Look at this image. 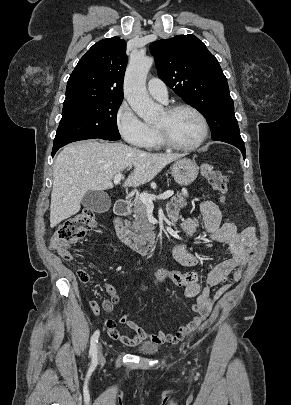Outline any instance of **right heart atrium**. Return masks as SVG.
Masks as SVG:
<instances>
[{"label":"right heart atrium","mask_w":291,"mask_h":405,"mask_svg":"<svg viewBox=\"0 0 291 405\" xmlns=\"http://www.w3.org/2000/svg\"><path fill=\"white\" fill-rule=\"evenodd\" d=\"M115 123L118 132L127 143L136 147L148 146L153 128L143 122L126 102L118 107Z\"/></svg>","instance_id":"d8ad5b80"}]
</instances>
